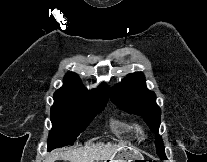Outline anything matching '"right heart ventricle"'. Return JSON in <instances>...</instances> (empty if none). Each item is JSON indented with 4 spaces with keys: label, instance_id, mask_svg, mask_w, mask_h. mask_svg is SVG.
Wrapping results in <instances>:
<instances>
[{
    "label": "right heart ventricle",
    "instance_id": "1",
    "mask_svg": "<svg viewBox=\"0 0 207 162\" xmlns=\"http://www.w3.org/2000/svg\"><path fill=\"white\" fill-rule=\"evenodd\" d=\"M123 128H124L126 131H131V130H132V127H131V126H128V125H123Z\"/></svg>",
    "mask_w": 207,
    "mask_h": 162
}]
</instances>
